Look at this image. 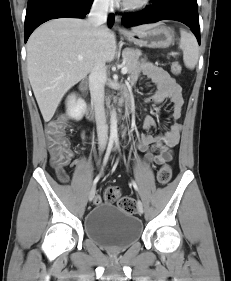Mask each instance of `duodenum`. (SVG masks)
<instances>
[{"label": "duodenum", "instance_id": "410a0bca", "mask_svg": "<svg viewBox=\"0 0 231 281\" xmlns=\"http://www.w3.org/2000/svg\"><path fill=\"white\" fill-rule=\"evenodd\" d=\"M87 89H88V86L86 83H82L79 87V90H80V97L82 99H85L86 98V94H87ZM123 108L126 112H129L130 109H131V100L129 98H126L124 101H123ZM88 118L91 120V121H94L96 120V112L94 110H90L89 114H88Z\"/></svg>", "mask_w": 231, "mask_h": 281}]
</instances>
